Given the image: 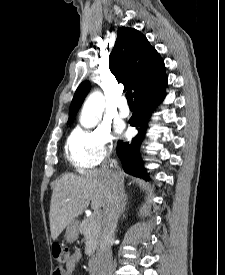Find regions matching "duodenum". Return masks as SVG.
Segmentation results:
<instances>
[{"label": "duodenum", "mask_w": 225, "mask_h": 275, "mask_svg": "<svg viewBox=\"0 0 225 275\" xmlns=\"http://www.w3.org/2000/svg\"><path fill=\"white\" fill-rule=\"evenodd\" d=\"M98 266H99V259L97 257H94V256L90 257L89 258L90 275H97Z\"/></svg>", "instance_id": "1"}]
</instances>
